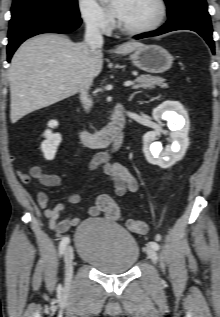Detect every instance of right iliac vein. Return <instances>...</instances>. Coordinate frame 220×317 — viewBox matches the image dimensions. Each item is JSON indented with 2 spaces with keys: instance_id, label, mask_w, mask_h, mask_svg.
Here are the masks:
<instances>
[{
  "instance_id": "1",
  "label": "right iliac vein",
  "mask_w": 220,
  "mask_h": 317,
  "mask_svg": "<svg viewBox=\"0 0 220 317\" xmlns=\"http://www.w3.org/2000/svg\"><path fill=\"white\" fill-rule=\"evenodd\" d=\"M73 248L68 246L65 250L64 254V262H65V284L68 286L72 280L73 276Z\"/></svg>"
}]
</instances>
